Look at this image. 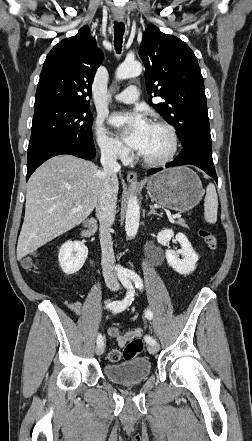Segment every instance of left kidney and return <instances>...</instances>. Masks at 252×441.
I'll return each instance as SVG.
<instances>
[{
	"label": "left kidney",
	"instance_id": "obj_1",
	"mask_svg": "<svg viewBox=\"0 0 252 441\" xmlns=\"http://www.w3.org/2000/svg\"><path fill=\"white\" fill-rule=\"evenodd\" d=\"M173 236V230L165 229L158 233L157 241L162 246H166ZM175 238L181 244L182 248L178 252L167 249L165 251L167 262L169 266H171L179 274H189L195 270L198 255L192 248V245L185 234L178 233L176 234ZM179 255H181L183 258L180 259Z\"/></svg>",
	"mask_w": 252,
	"mask_h": 441
}]
</instances>
